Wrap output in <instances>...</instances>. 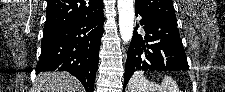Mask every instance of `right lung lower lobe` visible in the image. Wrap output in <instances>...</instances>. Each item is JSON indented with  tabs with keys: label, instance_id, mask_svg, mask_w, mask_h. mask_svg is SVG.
Returning a JSON list of instances; mask_svg holds the SVG:
<instances>
[{
	"label": "right lung lower lobe",
	"instance_id": "obj_1",
	"mask_svg": "<svg viewBox=\"0 0 225 92\" xmlns=\"http://www.w3.org/2000/svg\"><path fill=\"white\" fill-rule=\"evenodd\" d=\"M104 21L102 12L44 33L36 73L67 71L82 83L86 92H93Z\"/></svg>",
	"mask_w": 225,
	"mask_h": 92
}]
</instances>
